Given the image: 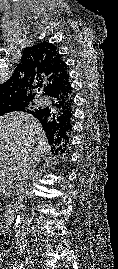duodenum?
Segmentation results:
<instances>
[{"instance_id":"obj_1","label":"duodenum","mask_w":118,"mask_h":269,"mask_svg":"<svg viewBox=\"0 0 118 269\" xmlns=\"http://www.w3.org/2000/svg\"><path fill=\"white\" fill-rule=\"evenodd\" d=\"M14 218V209L9 208L1 215V220L4 222L5 225H9Z\"/></svg>"}]
</instances>
